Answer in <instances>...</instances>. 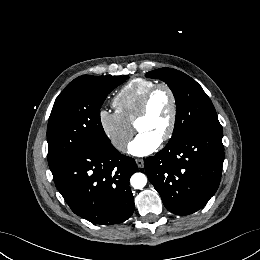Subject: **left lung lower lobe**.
Instances as JSON below:
<instances>
[{
	"mask_svg": "<svg viewBox=\"0 0 260 260\" xmlns=\"http://www.w3.org/2000/svg\"><path fill=\"white\" fill-rule=\"evenodd\" d=\"M221 125L195 129L145 160L149 181L166 209L188 215L216 192L224 160Z\"/></svg>",
	"mask_w": 260,
	"mask_h": 260,
	"instance_id": "obj_1",
	"label": "left lung lower lobe"
}]
</instances>
